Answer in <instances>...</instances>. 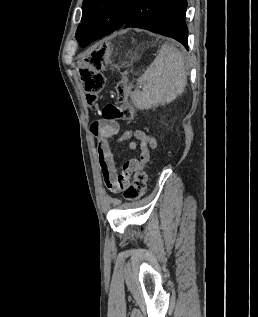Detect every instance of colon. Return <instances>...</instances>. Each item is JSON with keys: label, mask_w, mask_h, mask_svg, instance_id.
Wrapping results in <instances>:
<instances>
[{"label": "colon", "mask_w": 258, "mask_h": 317, "mask_svg": "<svg viewBox=\"0 0 258 317\" xmlns=\"http://www.w3.org/2000/svg\"><path fill=\"white\" fill-rule=\"evenodd\" d=\"M107 63V52L103 48H94L85 53L77 65L78 72L84 85L88 103H95L104 88L102 70ZM118 103L106 104L102 109L104 120H131L135 108L130 101L129 90L124 82H119L116 88ZM147 176L145 172L136 174L133 181L125 188L124 196L128 200L140 199L146 189Z\"/></svg>", "instance_id": "obj_1"}]
</instances>
